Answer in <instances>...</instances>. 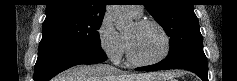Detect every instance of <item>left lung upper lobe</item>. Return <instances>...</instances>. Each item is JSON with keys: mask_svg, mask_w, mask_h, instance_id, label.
I'll use <instances>...</instances> for the list:
<instances>
[{"mask_svg": "<svg viewBox=\"0 0 237 81\" xmlns=\"http://www.w3.org/2000/svg\"><path fill=\"white\" fill-rule=\"evenodd\" d=\"M170 37L168 56L173 63L203 52V40L191 0H146L144 5Z\"/></svg>", "mask_w": 237, "mask_h": 81, "instance_id": "1", "label": "left lung upper lobe"}]
</instances>
